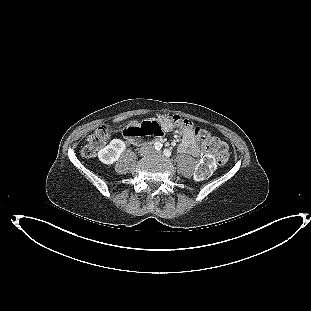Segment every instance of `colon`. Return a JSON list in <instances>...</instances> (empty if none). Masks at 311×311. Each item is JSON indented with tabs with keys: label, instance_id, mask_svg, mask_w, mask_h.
<instances>
[{
	"label": "colon",
	"instance_id": "5ec220e1",
	"mask_svg": "<svg viewBox=\"0 0 311 311\" xmlns=\"http://www.w3.org/2000/svg\"><path fill=\"white\" fill-rule=\"evenodd\" d=\"M173 124L182 130L193 129L194 135L206 151L205 156L199 161L195 178L203 180L210 176L216 165H224L228 161V148L225 143L211 135L204 129L193 127L191 121L181 119L178 116H170ZM129 133H138L139 135L161 136V129L154 124L153 127H136L129 130ZM110 137V129L102 125L94 130L86 140L85 145L81 148V155L85 158L94 157L98 151L107 143Z\"/></svg>",
	"mask_w": 311,
	"mask_h": 311
}]
</instances>
